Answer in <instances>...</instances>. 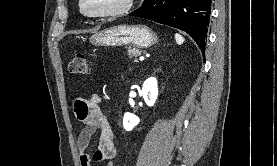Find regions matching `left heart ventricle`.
Listing matches in <instances>:
<instances>
[{
    "label": "left heart ventricle",
    "mask_w": 277,
    "mask_h": 166,
    "mask_svg": "<svg viewBox=\"0 0 277 166\" xmlns=\"http://www.w3.org/2000/svg\"><path fill=\"white\" fill-rule=\"evenodd\" d=\"M124 0H84V8L88 12H98L122 5Z\"/></svg>",
    "instance_id": "1"
}]
</instances>
